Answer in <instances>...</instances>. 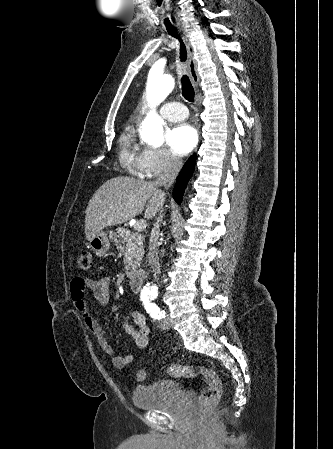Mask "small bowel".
I'll return each mask as SVG.
<instances>
[{
  "label": "small bowel",
  "instance_id": "small-bowel-1",
  "mask_svg": "<svg viewBox=\"0 0 333 449\" xmlns=\"http://www.w3.org/2000/svg\"><path fill=\"white\" fill-rule=\"evenodd\" d=\"M89 289L100 304H106L110 299V279L103 276L99 279H91L77 276L70 285L71 299L76 310L82 317L83 323L96 338L100 349L109 356L116 368L122 369L133 361L132 354L117 355L114 347L105 337V332L95 318L86 300V290ZM124 330L132 337L139 349H145L149 345V329L143 314L131 313L123 322Z\"/></svg>",
  "mask_w": 333,
  "mask_h": 449
}]
</instances>
